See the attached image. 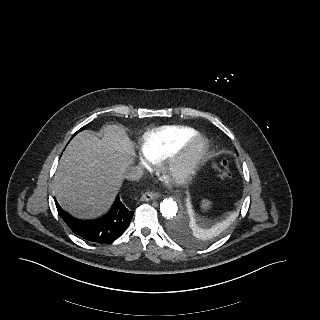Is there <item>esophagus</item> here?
Returning a JSON list of instances; mask_svg holds the SVG:
<instances>
[{
	"mask_svg": "<svg viewBox=\"0 0 320 320\" xmlns=\"http://www.w3.org/2000/svg\"><path fill=\"white\" fill-rule=\"evenodd\" d=\"M158 193L154 191H147L141 196V201H151L158 198Z\"/></svg>",
	"mask_w": 320,
	"mask_h": 320,
	"instance_id": "1",
	"label": "esophagus"
}]
</instances>
